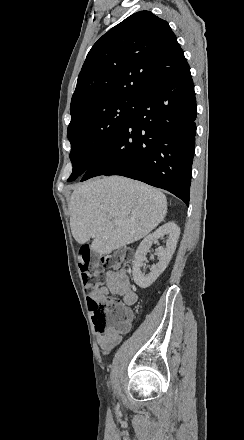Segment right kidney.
<instances>
[{
  "mask_svg": "<svg viewBox=\"0 0 244 440\" xmlns=\"http://www.w3.org/2000/svg\"><path fill=\"white\" fill-rule=\"evenodd\" d=\"M164 236H167L168 238L166 248H157L156 250L159 260L158 264L151 266L149 274H143L141 268L144 266V262H146L147 252H150V248L154 242H157L159 238H164ZM179 236V226H177L175 222H168V224L160 226L156 232L149 234V236H146V238L142 240L140 246H138L136 250L132 268L133 280L139 288H149V286L159 278L160 274L164 272L176 250Z\"/></svg>",
  "mask_w": 244,
  "mask_h": 440,
  "instance_id": "obj_1",
  "label": "right kidney"
}]
</instances>
